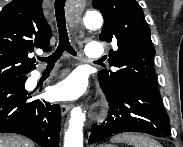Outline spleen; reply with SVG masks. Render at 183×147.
Here are the masks:
<instances>
[{
  "label": "spleen",
  "instance_id": "obj_1",
  "mask_svg": "<svg viewBox=\"0 0 183 147\" xmlns=\"http://www.w3.org/2000/svg\"><path fill=\"white\" fill-rule=\"evenodd\" d=\"M112 142H124L133 147H161V145L150 136L141 134L125 133L116 135L111 139Z\"/></svg>",
  "mask_w": 183,
  "mask_h": 147
}]
</instances>
